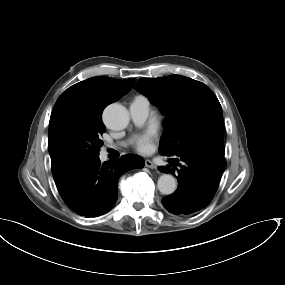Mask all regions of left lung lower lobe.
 <instances>
[{"label":"left lung lower lobe","mask_w":285,"mask_h":285,"mask_svg":"<svg viewBox=\"0 0 285 285\" xmlns=\"http://www.w3.org/2000/svg\"><path fill=\"white\" fill-rule=\"evenodd\" d=\"M225 167L224 157L208 152L181 154L178 159L170 160V166H159L161 172L174 176L177 169L179 180L176 191L162 198L163 206L175 215H191L206 208L217 191Z\"/></svg>","instance_id":"1"}]
</instances>
